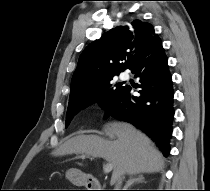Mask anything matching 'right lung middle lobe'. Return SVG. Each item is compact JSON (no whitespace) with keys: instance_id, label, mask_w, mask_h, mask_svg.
Returning a JSON list of instances; mask_svg holds the SVG:
<instances>
[{"instance_id":"1","label":"right lung middle lobe","mask_w":210,"mask_h":191,"mask_svg":"<svg viewBox=\"0 0 210 191\" xmlns=\"http://www.w3.org/2000/svg\"><path fill=\"white\" fill-rule=\"evenodd\" d=\"M119 73L110 75L101 80L91 91L84 95H80L69 99L67 114H66V127L69 125L72 118L82 109L87 106L99 102L103 109H106L124 89L122 83L114 84L112 82L114 76Z\"/></svg>"}]
</instances>
